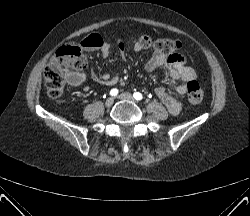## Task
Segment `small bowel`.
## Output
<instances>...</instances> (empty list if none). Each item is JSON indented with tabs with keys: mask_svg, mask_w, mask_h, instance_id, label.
I'll return each instance as SVG.
<instances>
[{
	"mask_svg": "<svg viewBox=\"0 0 250 216\" xmlns=\"http://www.w3.org/2000/svg\"><path fill=\"white\" fill-rule=\"evenodd\" d=\"M81 46L86 51L100 49L103 56H107L109 54L108 45L104 43L102 37L98 34H91L87 36L81 42ZM133 48L135 51L142 49L140 44L137 42L133 44ZM118 49L121 56L124 57L125 45L123 43H119ZM160 67H165L169 70V80L171 82L177 80H181L183 82V84L176 87V92L181 96L186 94L187 83L196 78L195 71L185 64L184 58L178 53L166 54L155 51L152 57L146 62L145 70L152 72ZM92 78L97 83L107 86L115 85L119 81V76L117 75L109 76L106 74H99L95 71H92ZM84 81L85 75L82 73H76L68 79L69 84L73 86L81 85ZM155 93L171 114L177 115L180 113L181 103L176 98L169 95L164 86L157 87Z\"/></svg>",
	"mask_w": 250,
	"mask_h": 216,
	"instance_id": "c3829d8e",
	"label": "small bowel"
}]
</instances>
